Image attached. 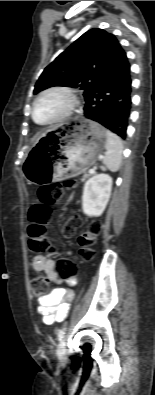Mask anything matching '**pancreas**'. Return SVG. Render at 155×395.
Returning a JSON list of instances; mask_svg holds the SVG:
<instances>
[{"instance_id": "cf45deb5", "label": "pancreas", "mask_w": 155, "mask_h": 395, "mask_svg": "<svg viewBox=\"0 0 155 395\" xmlns=\"http://www.w3.org/2000/svg\"><path fill=\"white\" fill-rule=\"evenodd\" d=\"M91 174H84L83 178H88Z\"/></svg>"}]
</instances>
